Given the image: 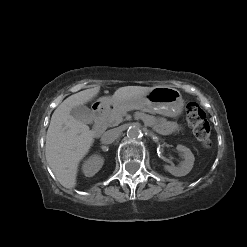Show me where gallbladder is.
Returning <instances> with one entry per match:
<instances>
[{
  "label": "gallbladder",
  "instance_id": "bac80fb5",
  "mask_svg": "<svg viewBox=\"0 0 247 247\" xmlns=\"http://www.w3.org/2000/svg\"><path fill=\"white\" fill-rule=\"evenodd\" d=\"M71 115L78 121L91 124L93 116L91 110L84 105H78L72 108Z\"/></svg>",
  "mask_w": 247,
  "mask_h": 247
}]
</instances>
